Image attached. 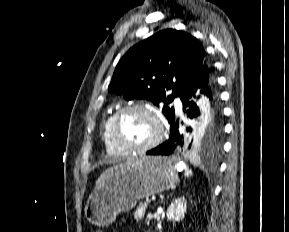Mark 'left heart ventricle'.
I'll list each match as a JSON object with an SVG mask.
<instances>
[{"mask_svg":"<svg viewBox=\"0 0 289 232\" xmlns=\"http://www.w3.org/2000/svg\"><path fill=\"white\" fill-rule=\"evenodd\" d=\"M157 133L153 118L142 111H129L122 115L118 123L119 139L130 146L148 144Z\"/></svg>","mask_w":289,"mask_h":232,"instance_id":"1","label":"left heart ventricle"}]
</instances>
